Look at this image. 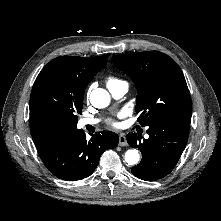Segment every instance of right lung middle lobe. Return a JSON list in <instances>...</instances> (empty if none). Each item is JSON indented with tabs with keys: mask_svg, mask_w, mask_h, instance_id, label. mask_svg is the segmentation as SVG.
Segmentation results:
<instances>
[{
	"mask_svg": "<svg viewBox=\"0 0 221 221\" xmlns=\"http://www.w3.org/2000/svg\"><path fill=\"white\" fill-rule=\"evenodd\" d=\"M87 83L76 73L71 56L50 61L37 76L30 97V120L77 129Z\"/></svg>",
	"mask_w": 221,
	"mask_h": 221,
	"instance_id": "1",
	"label": "right lung middle lobe"
}]
</instances>
